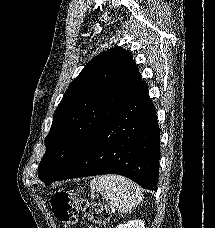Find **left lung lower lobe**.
<instances>
[{
  "instance_id": "0a47b994",
  "label": "left lung lower lobe",
  "mask_w": 215,
  "mask_h": 228,
  "mask_svg": "<svg viewBox=\"0 0 215 228\" xmlns=\"http://www.w3.org/2000/svg\"><path fill=\"white\" fill-rule=\"evenodd\" d=\"M160 128L156 111L142 81L125 103L52 182L102 174L130 178L141 187L157 191Z\"/></svg>"
}]
</instances>
